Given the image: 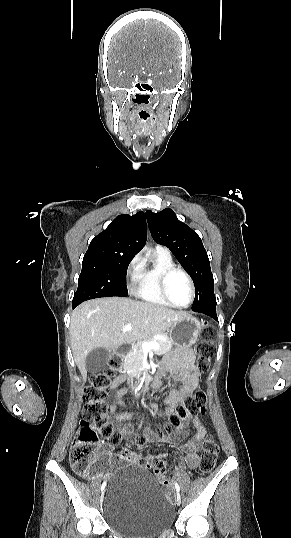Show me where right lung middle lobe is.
Listing matches in <instances>:
<instances>
[{"label": "right lung middle lobe", "mask_w": 291, "mask_h": 538, "mask_svg": "<svg viewBox=\"0 0 291 538\" xmlns=\"http://www.w3.org/2000/svg\"><path fill=\"white\" fill-rule=\"evenodd\" d=\"M133 257L127 254L86 253L73 305L99 297H126V273Z\"/></svg>", "instance_id": "obj_1"}]
</instances>
